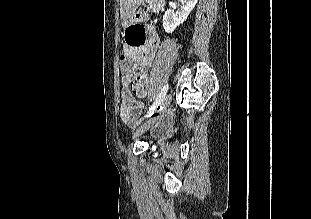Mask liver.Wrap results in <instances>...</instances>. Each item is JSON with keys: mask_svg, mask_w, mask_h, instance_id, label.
Wrapping results in <instances>:
<instances>
[{"mask_svg": "<svg viewBox=\"0 0 311 219\" xmlns=\"http://www.w3.org/2000/svg\"><path fill=\"white\" fill-rule=\"evenodd\" d=\"M133 0H120L121 17L126 20L129 15L134 11L132 7Z\"/></svg>", "mask_w": 311, "mask_h": 219, "instance_id": "liver-1", "label": "liver"}]
</instances>
